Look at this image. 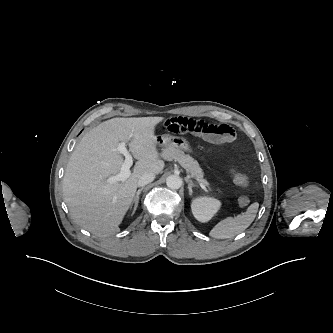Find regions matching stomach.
I'll use <instances>...</instances> for the list:
<instances>
[{
    "label": "stomach",
    "instance_id": "stomach-1",
    "mask_svg": "<svg viewBox=\"0 0 333 333\" xmlns=\"http://www.w3.org/2000/svg\"><path fill=\"white\" fill-rule=\"evenodd\" d=\"M157 144L163 149L175 147L179 150H189V145L183 137H174L169 134H164L157 137Z\"/></svg>",
    "mask_w": 333,
    "mask_h": 333
}]
</instances>
